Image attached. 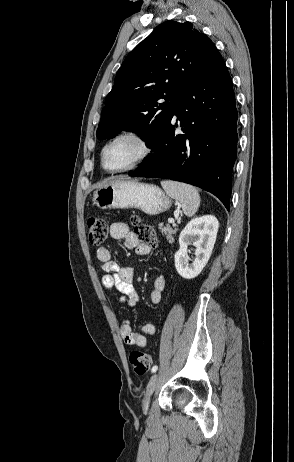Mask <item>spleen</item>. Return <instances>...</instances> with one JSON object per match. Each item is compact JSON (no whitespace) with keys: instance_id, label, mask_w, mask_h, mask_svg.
Returning <instances> with one entry per match:
<instances>
[{"instance_id":"obj_1","label":"spleen","mask_w":294,"mask_h":462,"mask_svg":"<svg viewBox=\"0 0 294 462\" xmlns=\"http://www.w3.org/2000/svg\"><path fill=\"white\" fill-rule=\"evenodd\" d=\"M161 186L167 195L182 204V210L186 216L191 217L197 212L200 205V195L195 187L170 180L161 181Z\"/></svg>"}]
</instances>
